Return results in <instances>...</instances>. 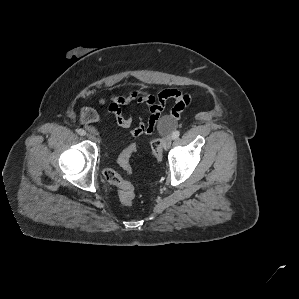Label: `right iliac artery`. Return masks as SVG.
<instances>
[{"label":"right iliac artery","mask_w":299,"mask_h":299,"mask_svg":"<svg viewBox=\"0 0 299 299\" xmlns=\"http://www.w3.org/2000/svg\"><path fill=\"white\" fill-rule=\"evenodd\" d=\"M77 133H78L79 135H81V136L86 135V131L83 130V129H78V130H77Z\"/></svg>","instance_id":"right-iliac-artery-1"}]
</instances>
